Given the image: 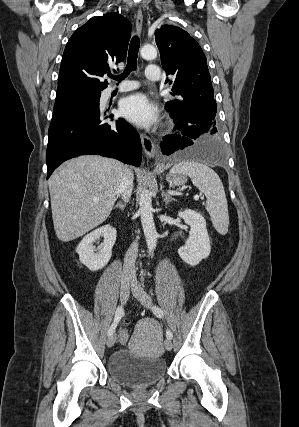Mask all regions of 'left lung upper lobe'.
Returning a JSON list of instances; mask_svg holds the SVG:
<instances>
[{
  "label": "left lung upper lobe",
  "mask_w": 299,
  "mask_h": 427,
  "mask_svg": "<svg viewBox=\"0 0 299 427\" xmlns=\"http://www.w3.org/2000/svg\"><path fill=\"white\" fill-rule=\"evenodd\" d=\"M155 36L162 66L167 74L174 75V79L168 81L173 85L172 95L180 98L167 102L166 110L173 112L182 104H203L212 109V117L218 128L217 104L213 98L207 60L197 41L186 31L172 25L161 26L155 31Z\"/></svg>",
  "instance_id": "left-lung-upper-lobe-1"
}]
</instances>
